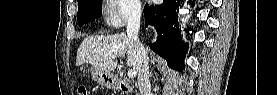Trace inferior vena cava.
<instances>
[{"instance_id":"obj_1","label":"inferior vena cava","mask_w":277,"mask_h":95,"mask_svg":"<svg viewBox=\"0 0 277 95\" xmlns=\"http://www.w3.org/2000/svg\"><path fill=\"white\" fill-rule=\"evenodd\" d=\"M141 14L142 8L140 4L135 5L131 9L127 24V36L131 39L136 52V70L138 73L137 83L140 95H150L151 85L149 81V62L147 50L138 38Z\"/></svg>"}]
</instances>
